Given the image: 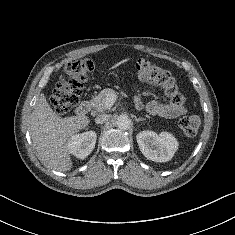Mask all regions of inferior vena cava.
Listing matches in <instances>:
<instances>
[{
    "instance_id": "1",
    "label": "inferior vena cava",
    "mask_w": 235,
    "mask_h": 235,
    "mask_svg": "<svg viewBox=\"0 0 235 235\" xmlns=\"http://www.w3.org/2000/svg\"><path fill=\"white\" fill-rule=\"evenodd\" d=\"M110 118V115H107V114H100L98 115L96 118H95V122L97 124H103L105 123L106 121H108V119Z\"/></svg>"
}]
</instances>
